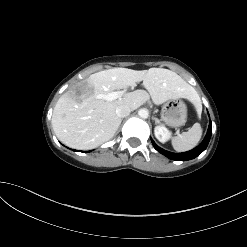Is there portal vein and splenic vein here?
<instances>
[{"instance_id": "1", "label": "portal vein and splenic vein", "mask_w": 247, "mask_h": 247, "mask_svg": "<svg viewBox=\"0 0 247 247\" xmlns=\"http://www.w3.org/2000/svg\"><path fill=\"white\" fill-rule=\"evenodd\" d=\"M124 93H125L124 91L111 92V93H108L106 95H100V98H103V99L108 100V101H112V100H115V99L122 97L124 95Z\"/></svg>"}]
</instances>
